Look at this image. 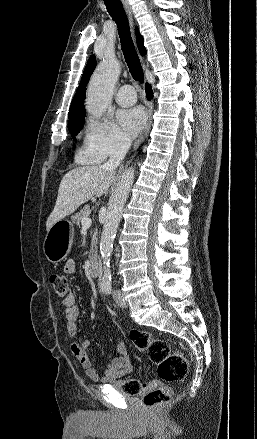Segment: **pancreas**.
<instances>
[{"label": "pancreas", "mask_w": 257, "mask_h": 439, "mask_svg": "<svg viewBox=\"0 0 257 439\" xmlns=\"http://www.w3.org/2000/svg\"><path fill=\"white\" fill-rule=\"evenodd\" d=\"M90 215V209L88 206H85L83 209H81L79 212H77L76 214H74L71 217V220L73 223L80 225V222L82 220V218L84 217H88ZM97 230H95L93 238H92V247L94 245V243L97 241Z\"/></svg>", "instance_id": "obj_1"}]
</instances>
